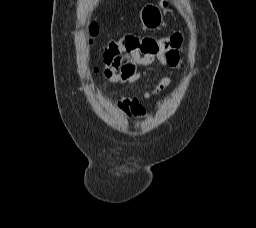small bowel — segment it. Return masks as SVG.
Here are the masks:
<instances>
[{
    "mask_svg": "<svg viewBox=\"0 0 256 228\" xmlns=\"http://www.w3.org/2000/svg\"><path fill=\"white\" fill-rule=\"evenodd\" d=\"M164 40V39H162ZM157 60L162 66L177 67L180 64L179 50L170 49L162 45L157 54H145L139 51H132L122 55L115 65H105L104 85L113 84H132L143 78L142 73L137 71L139 66H147ZM171 80L165 75L153 89H145L143 97L149 99L153 95L165 90ZM119 109L129 117L142 118L145 116V108L137 98L123 97L118 103Z\"/></svg>",
    "mask_w": 256,
    "mask_h": 228,
    "instance_id": "c3829d8e",
    "label": "small bowel"
}]
</instances>
